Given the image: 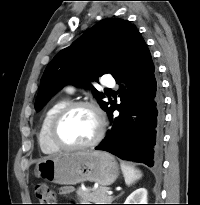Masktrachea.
<instances>
[{
    "mask_svg": "<svg viewBox=\"0 0 200 205\" xmlns=\"http://www.w3.org/2000/svg\"><path fill=\"white\" fill-rule=\"evenodd\" d=\"M107 91H111L110 89H106Z\"/></svg>",
    "mask_w": 200,
    "mask_h": 205,
    "instance_id": "3493384b",
    "label": "trachea"
}]
</instances>
